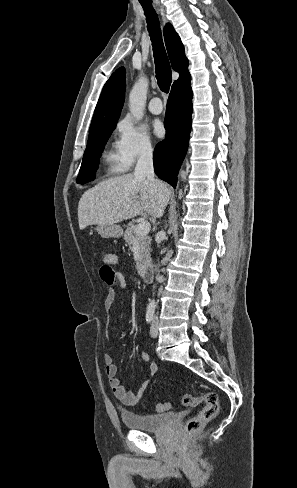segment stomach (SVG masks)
I'll list each match as a JSON object with an SVG mask.
<instances>
[{
    "label": "stomach",
    "instance_id": "stomach-1",
    "mask_svg": "<svg viewBox=\"0 0 297 488\" xmlns=\"http://www.w3.org/2000/svg\"><path fill=\"white\" fill-rule=\"evenodd\" d=\"M96 231L103 238H119L123 235V230L119 225H98Z\"/></svg>",
    "mask_w": 297,
    "mask_h": 488
}]
</instances>
